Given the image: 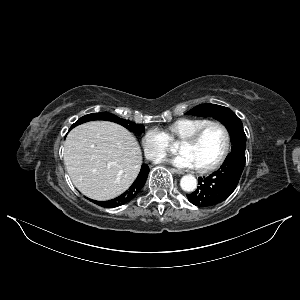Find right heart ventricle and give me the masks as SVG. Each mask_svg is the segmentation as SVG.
I'll return each mask as SVG.
<instances>
[{"label": "right heart ventricle", "instance_id": "obj_1", "mask_svg": "<svg viewBox=\"0 0 300 300\" xmlns=\"http://www.w3.org/2000/svg\"><path fill=\"white\" fill-rule=\"evenodd\" d=\"M210 121L206 118H181L167 126V135L170 140H183Z\"/></svg>", "mask_w": 300, "mask_h": 300}]
</instances>
